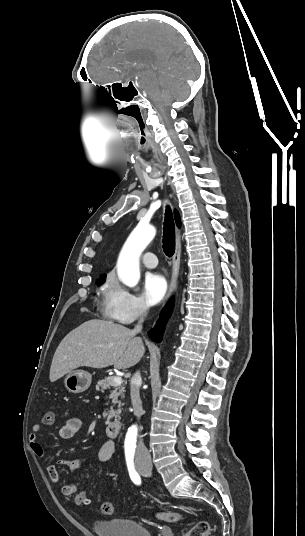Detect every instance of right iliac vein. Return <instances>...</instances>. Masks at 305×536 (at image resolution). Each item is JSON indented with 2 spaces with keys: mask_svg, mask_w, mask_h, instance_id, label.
<instances>
[{
  "mask_svg": "<svg viewBox=\"0 0 305 536\" xmlns=\"http://www.w3.org/2000/svg\"><path fill=\"white\" fill-rule=\"evenodd\" d=\"M145 469L149 470L150 468L149 466H143L142 470H145Z\"/></svg>",
  "mask_w": 305,
  "mask_h": 536,
  "instance_id": "63e3f726",
  "label": "right iliac vein"
}]
</instances>
